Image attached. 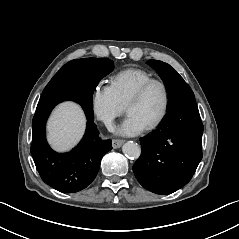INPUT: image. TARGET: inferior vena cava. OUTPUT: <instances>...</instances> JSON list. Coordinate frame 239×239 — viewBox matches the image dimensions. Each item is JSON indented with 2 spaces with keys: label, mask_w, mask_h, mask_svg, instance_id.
I'll list each match as a JSON object with an SVG mask.
<instances>
[{
  "label": "inferior vena cava",
  "mask_w": 239,
  "mask_h": 239,
  "mask_svg": "<svg viewBox=\"0 0 239 239\" xmlns=\"http://www.w3.org/2000/svg\"><path fill=\"white\" fill-rule=\"evenodd\" d=\"M105 126L108 129V131H110V132L115 131L116 125L114 124V122L112 120H106Z\"/></svg>",
  "instance_id": "obj_1"
}]
</instances>
